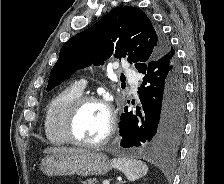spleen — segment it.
Here are the masks:
<instances>
[{
  "instance_id": "1",
  "label": "spleen",
  "mask_w": 224,
  "mask_h": 184,
  "mask_svg": "<svg viewBox=\"0 0 224 184\" xmlns=\"http://www.w3.org/2000/svg\"><path fill=\"white\" fill-rule=\"evenodd\" d=\"M111 165L122 171L129 181H135L148 172L147 165L137 159L114 158Z\"/></svg>"
}]
</instances>
